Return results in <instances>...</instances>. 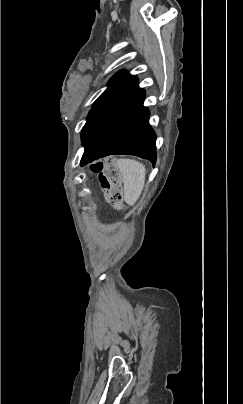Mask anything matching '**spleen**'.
Here are the masks:
<instances>
[{"label": "spleen", "instance_id": "spleen-1", "mask_svg": "<svg viewBox=\"0 0 243 404\" xmlns=\"http://www.w3.org/2000/svg\"><path fill=\"white\" fill-rule=\"evenodd\" d=\"M118 168L123 176L124 200L134 206L139 200L145 184V166L136 160H117Z\"/></svg>", "mask_w": 243, "mask_h": 404}]
</instances>
